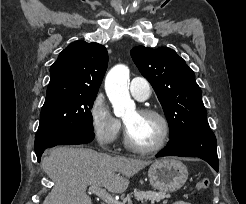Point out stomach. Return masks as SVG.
<instances>
[{"mask_svg": "<svg viewBox=\"0 0 246 204\" xmlns=\"http://www.w3.org/2000/svg\"><path fill=\"white\" fill-rule=\"evenodd\" d=\"M152 187L159 191L175 192L187 181V167L179 160L163 158L152 163L148 170Z\"/></svg>", "mask_w": 246, "mask_h": 204, "instance_id": "stomach-1", "label": "stomach"}]
</instances>
